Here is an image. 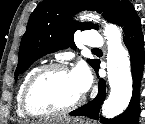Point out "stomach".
I'll list each match as a JSON object with an SVG mask.
<instances>
[{
    "instance_id": "1",
    "label": "stomach",
    "mask_w": 145,
    "mask_h": 124,
    "mask_svg": "<svg viewBox=\"0 0 145 124\" xmlns=\"http://www.w3.org/2000/svg\"><path fill=\"white\" fill-rule=\"evenodd\" d=\"M47 124H93V123L81 119L57 118L55 120H51Z\"/></svg>"
}]
</instances>
